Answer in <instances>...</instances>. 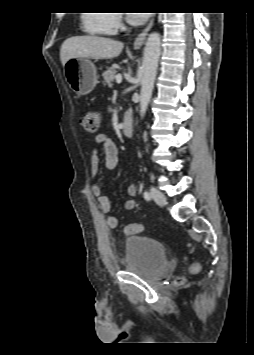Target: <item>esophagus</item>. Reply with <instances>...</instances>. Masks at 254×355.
<instances>
[{
	"mask_svg": "<svg viewBox=\"0 0 254 355\" xmlns=\"http://www.w3.org/2000/svg\"><path fill=\"white\" fill-rule=\"evenodd\" d=\"M154 23V17L151 19L150 23L148 24V26L138 35V37L135 39L134 43H133V47L134 49H139L142 47V45L145 42L146 36L148 34V32L150 31V29L152 28Z\"/></svg>",
	"mask_w": 254,
	"mask_h": 355,
	"instance_id": "1",
	"label": "esophagus"
}]
</instances>
